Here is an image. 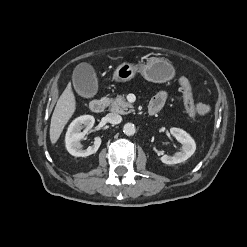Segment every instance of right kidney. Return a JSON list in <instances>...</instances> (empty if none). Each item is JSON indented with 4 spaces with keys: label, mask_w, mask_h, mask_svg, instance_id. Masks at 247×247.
Segmentation results:
<instances>
[{
    "label": "right kidney",
    "mask_w": 247,
    "mask_h": 247,
    "mask_svg": "<svg viewBox=\"0 0 247 247\" xmlns=\"http://www.w3.org/2000/svg\"><path fill=\"white\" fill-rule=\"evenodd\" d=\"M95 123V118L91 115H83L76 118L68 127L65 137L66 149L75 157H86L97 152L101 145V138L95 137L94 144L87 149H83L80 141L84 138L86 132L90 130ZM84 128V131L81 130Z\"/></svg>",
    "instance_id": "1"
}]
</instances>
